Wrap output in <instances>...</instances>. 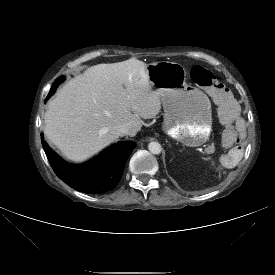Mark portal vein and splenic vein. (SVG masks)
I'll return each mask as SVG.
<instances>
[{
    "instance_id": "portal-vein-and-splenic-vein-1",
    "label": "portal vein and splenic vein",
    "mask_w": 275,
    "mask_h": 275,
    "mask_svg": "<svg viewBox=\"0 0 275 275\" xmlns=\"http://www.w3.org/2000/svg\"><path fill=\"white\" fill-rule=\"evenodd\" d=\"M213 151H214V147H213V146H210V147H208V148L206 149V152H207L208 154L213 153Z\"/></svg>"
}]
</instances>
